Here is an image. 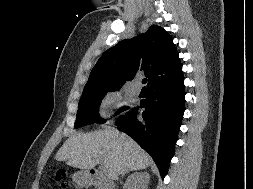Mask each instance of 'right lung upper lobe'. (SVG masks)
<instances>
[{
  "mask_svg": "<svg viewBox=\"0 0 253 189\" xmlns=\"http://www.w3.org/2000/svg\"><path fill=\"white\" fill-rule=\"evenodd\" d=\"M142 70L149 79L148 86L182 74V64L172 38L157 25L105 51L93 67L83 91L121 87Z\"/></svg>",
  "mask_w": 253,
  "mask_h": 189,
  "instance_id": "1",
  "label": "right lung upper lobe"
}]
</instances>
